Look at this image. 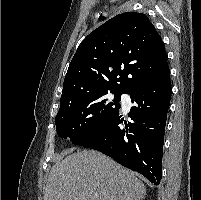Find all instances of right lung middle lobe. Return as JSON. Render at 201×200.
<instances>
[{"label": "right lung middle lobe", "mask_w": 201, "mask_h": 200, "mask_svg": "<svg viewBox=\"0 0 201 200\" xmlns=\"http://www.w3.org/2000/svg\"><path fill=\"white\" fill-rule=\"evenodd\" d=\"M110 93L114 94L112 101L103 98L108 91H98L61 102L55 118L58 135L73 141L115 114L120 109L121 93Z\"/></svg>", "instance_id": "dd1d6c3e"}]
</instances>
